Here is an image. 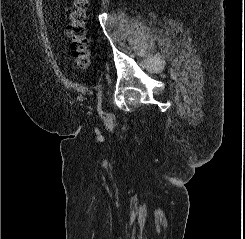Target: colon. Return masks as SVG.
Wrapping results in <instances>:
<instances>
[{
	"instance_id": "5ec220e1",
	"label": "colon",
	"mask_w": 245,
	"mask_h": 239,
	"mask_svg": "<svg viewBox=\"0 0 245 239\" xmlns=\"http://www.w3.org/2000/svg\"><path fill=\"white\" fill-rule=\"evenodd\" d=\"M90 0H75L74 11L67 26V35L71 40L73 59L79 69L86 71L90 66V50L85 35L86 13Z\"/></svg>"
}]
</instances>
